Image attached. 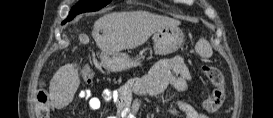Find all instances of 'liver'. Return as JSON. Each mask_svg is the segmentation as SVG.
<instances>
[{
	"instance_id": "obj_1",
	"label": "liver",
	"mask_w": 273,
	"mask_h": 118,
	"mask_svg": "<svg viewBox=\"0 0 273 118\" xmlns=\"http://www.w3.org/2000/svg\"><path fill=\"white\" fill-rule=\"evenodd\" d=\"M178 20L146 11L109 13L99 18L92 36L102 52L116 53L143 45L160 28L178 26ZM103 34L100 35L99 31ZM78 70L72 64L59 68L50 81L49 96L57 109L69 105L79 87Z\"/></svg>"
}]
</instances>
